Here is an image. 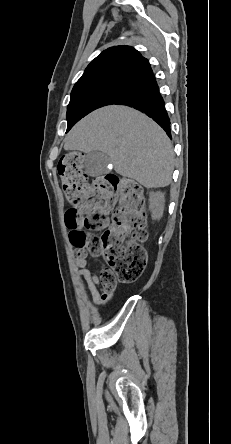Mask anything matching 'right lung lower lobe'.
<instances>
[{
    "label": "right lung lower lobe",
    "instance_id": "right-lung-lower-lobe-1",
    "mask_svg": "<svg viewBox=\"0 0 231 444\" xmlns=\"http://www.w3.org/2000/svg\"><path fill=\"white\" fill-rule=\"evenodd\" d=\"M113 104L127 105L144 112L156 121L171 138L170 120L155 79L130 90Z\"/></svg>",
    "mask_w": 231,
    "mask_h": 444
}]
</instances>
